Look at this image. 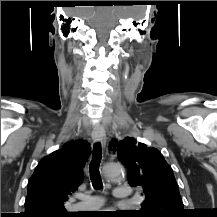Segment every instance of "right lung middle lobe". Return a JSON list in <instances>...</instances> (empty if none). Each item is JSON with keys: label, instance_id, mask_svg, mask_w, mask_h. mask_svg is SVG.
<instances>
[{"label": "right lung middle lobe", "instance_id": "dd1d6c3e", "mask_svg": "<svg viewBox=\"0 0 217 217\" xmlns=\"http://www.w3.org/2000/svg\"><path fill=\"white\" fill-rule=\"evenodd\" d=\"M54 217H70V216H65V215H56Z\"/></svg>", "mask_w": 217, "mask_h": 217}]
</instances>
